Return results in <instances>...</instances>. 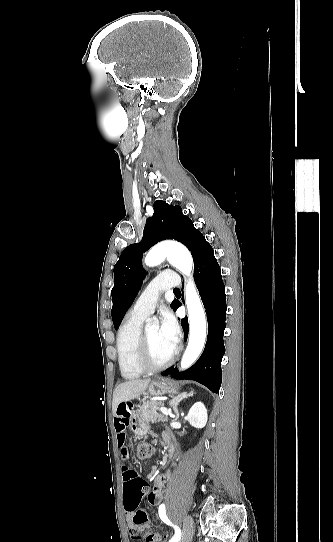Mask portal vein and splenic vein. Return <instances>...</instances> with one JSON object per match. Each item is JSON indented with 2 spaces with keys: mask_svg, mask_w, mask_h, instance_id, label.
Returning a JSON list of instances; mask_svg holds the SVG:
<instances>
[{
  "mask_svg": "<svg viewBox=\"0 0 333 542\" xmlns=\"http://www.w3.org/2000/svg\"><path fill=\"white\" fill-rule=\"evenodd\" d=\"M158 412H161V414H165V416H169L167 408H159Z\"/></svg>",
  "mask_w": 333,
  "mask_h": 542,
  "instance_id": "1",
  "label": "portal vein and splenic vein"
}]
</instances>
